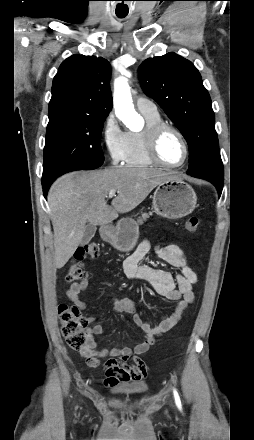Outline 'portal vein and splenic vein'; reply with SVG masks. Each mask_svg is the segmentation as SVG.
Segmentation results:
<instances>
[{"mask_svg": "<svg viewBox=\"0 0 254 440\" xmlns=\"http://www.w3.org/2000/svg\"><path fill=\"white\" fill-rule=\"evenodd\" d=\"M116 195V191L115 190H111V191H109V193H108V197L109 198H112L113 196H115Z\"/></svg>", "mask_w": 254, "mask_h": 440, "instance_id": "18ae733b", "label": "portal vein and splenic vein"}]
</instances>
